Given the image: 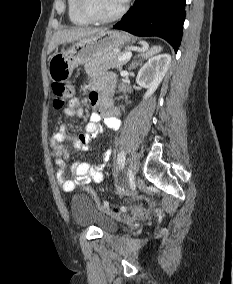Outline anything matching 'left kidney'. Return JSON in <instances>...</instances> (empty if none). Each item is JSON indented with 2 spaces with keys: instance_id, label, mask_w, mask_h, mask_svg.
Masks as SVG:
<instances>
[{
  "instance_id": "1",
  "label": "left kidney",
  "mask_w": 233,
  "mask_h": 284,
  "mask_svg": "<svg viewBox=\"0 0 233 284\" xmlns=\"http://www.w3.org/2000/svg\"><path fill=\"white\" fill-rule=\"evenodd\" d=\"M171 62L167 53L151 57L138 72L136 82L147 91L144 99L150 97L162 82Z\"/></svg>"
}]
</instances>
